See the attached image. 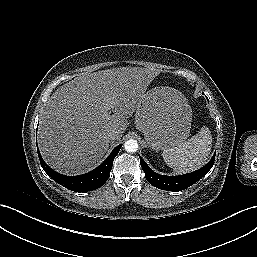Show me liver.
I'll list each match as a JSON object with an SVG mask.
<instances>
[{"label": "liver", "instance_id": "obj_1", "mask_svg": "<svg viewBox=\"0 0 257 257\" xmlns=\"http://www.w3.org/2000/svg\"><path fill=\"white\" fill-rule=\"evenodd\" d=\"M158 73L153 68H113L81 74L59 87L48 99L38 128L45 162L65 175L94 168L109 147L104 134L114 131L115 140L121 139L127 119Z\"/></svg>", "mask_w": 257, "mask_h": 257}]
</instances>
